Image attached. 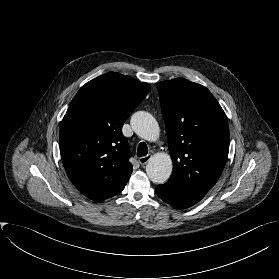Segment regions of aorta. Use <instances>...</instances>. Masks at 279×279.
Listing matches in <instances>:
<instances>
[{
	"label": "aorta",
	"mask_w": 279,
	"mask_h": 279,
	"mask_svg": "<svg viewBox=\"0 0 279 279\" xmlns=\"http://www.w3.org/2000/svg\"><path fill=\"white\" fill-rule=\"evenodd\" d=\"M134 132L148 141H155L159 137V125L156 119L148 112L138 111L131 118ZM173 164L166 153L154 155L146 166L149 179L157 184L165 183L171 176Z\"/></svg>",
	"instance_id": "1"
}]
</instances>
